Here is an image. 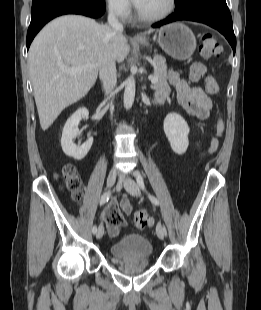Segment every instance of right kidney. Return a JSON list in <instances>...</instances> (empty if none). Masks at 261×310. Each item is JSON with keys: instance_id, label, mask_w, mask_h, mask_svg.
<instances>
[{"instance_id": "1", "label": "right kidney", "mask_w": 261, "mask_h": 310, "mask_svg": "<svg viewBox=\"0 0 261 310\" xmlns=\"http://www.w3.org/2000/svg\"><path fill=\"white\" fill-rule=\"evenodd\" d=\"M89 112L86 108L82 107L75 111V113L67 120L63 128L62 137H61V146L63 152L74 158L75 160H82L93 144V138L90 137L84 144L77 146L74 143V138L77 136L78 124L82 119L87 118Z\"/></svg>"}]
</instances>
